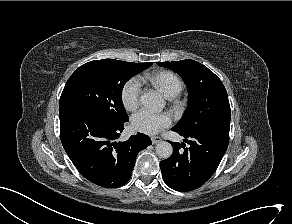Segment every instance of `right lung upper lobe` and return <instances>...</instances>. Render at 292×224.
Masks as SVG:
<instances>
[{"label": "right lung upper lobe", "mask_w": 292, "mask_h": 224, "mask_svg": "<svg viewBox=\"0 0 292 224\" xmlns=\"http://www.w3.org/2000/svg\"><path fill=\"white\" fill-rule=\"evenodd\" d=\"M144 64H148V65H150V66L152 65V63H151V62H150V63H144Z\"/></svg>", "instance_id": "right-lung-upper-lobe-1"}]
</instances>
